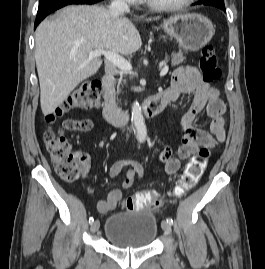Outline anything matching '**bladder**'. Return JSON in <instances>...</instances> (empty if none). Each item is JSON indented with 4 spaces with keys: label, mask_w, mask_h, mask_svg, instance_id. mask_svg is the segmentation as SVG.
<instances>
[{
    "label": "bladder",
    "mask_w": 265,
    "mask_h": 269,
    "mask_svg": "<svg viewBox=\"0 0 265 269\" xmlns=\"http://www.w3.org/2000/svg\"><path fill=\"white\" fill-rule=\"evenodd\" d=\"M158 232V223L149 209L133 212H116L105 223L106 239L113 245L123 248L150 246Z\"/></svg>",
    "instance_id": "1"
}]
</instances>
